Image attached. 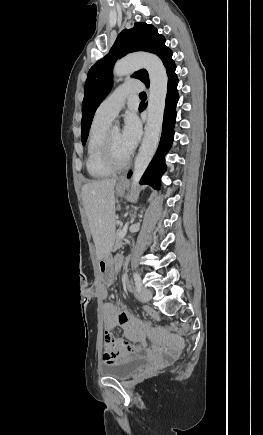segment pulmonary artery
<instances>
[{"label":"pulmonary artery","instance_id":"1","mask_svg":"<svg viewBox=\"0 0 263 435\" xmlns=\"http://www.w3.org/2000/svg\"><path fill=\"white\" fill-rule=\"evenodd\" d=\"M142 90L143 84L138 80L121 84L100 104L95 116L111 122L123 108L126 97Z\"/></svg>","mask_w":263,"mask_h":435}]
</instances>
